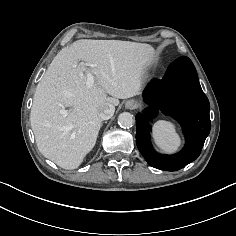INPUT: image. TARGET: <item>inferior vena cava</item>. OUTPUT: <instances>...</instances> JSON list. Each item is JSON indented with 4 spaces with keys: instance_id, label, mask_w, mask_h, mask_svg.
I'll use <instances>...</instances> for the list:
<instances>
[{
    "instance_id": "602c4592",
    "label": "inferior vena cava",
    "mask_w": 236,
    "mask_h": 236,
    "mask_svg": "<svg viewBox=\"0 0 236 236\" xmlns=\"http://www.w3.org/2000/svg\"><path fill=\"white\" fill-rule=\"evenodd\" d=\"M115 111L114 105L107 103L105 106L101 109L98 116L101 120H108L110 119Z\"/></svg>"
}]
</instances>
